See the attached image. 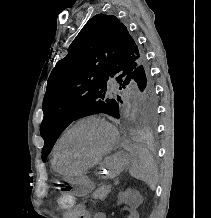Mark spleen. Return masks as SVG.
<instances>
[{"label": "spleen", "instance_id": "spleen-1", "mask_svg": "<svg viewBox=\"0 0 211 218\" xmlns=\"http://www.w3.org/2000/svg\"><path fill=\"white\" fill-rule=\"evenodd\" d=\"M130 168L129 172L136 180L145 182L151 190H155L158 178L157 166L154 158L148 150L138 148L130 152Z\"/></svg>", "mask_w": 211, "mask_h": 218}]
</instances>
